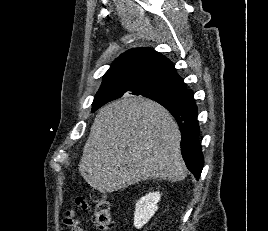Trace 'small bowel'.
I'll return each mask as SVG.
<instances>
[{
    "mask_svg": "<svg viewBox=\"0 0 268 231\" xmlns=\"http://www.w3.org/2000/svg\"><path fill=\"white\" fill-rule=\"evenodd\" d=\"M83 209H87V207L83 206ZM63 223L69 226L71 231H84L74 210H67L65 212Z\"/></svg>",
    "mask_w": 268,
    "mask_h": 231,
    "instance_id": "c3829d8e",
    "label": "small bowel"
}]
</instances>
